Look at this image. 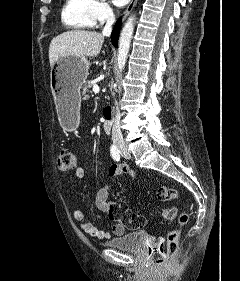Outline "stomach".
Segmentation results:
<instances>
[{
    "instance_id": "stomach-1",
    "label": "stomach",
    "mask_w": 240,
    "mask_h": 281,
    "mask_svg": "<svg viewBox=\"0 0 240 281\" xmlns=\"http://www.w3.org/2000/svg\"><path fill=\"white\" fill-rule=\"evenodd\" d=\"M90 62L86 57L67 56L51 68L50 87L61 125L75 130L80 122V89L88 76Z\"/></svg>"
}]
</instances>
